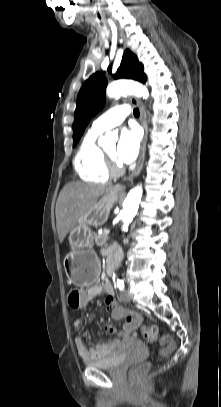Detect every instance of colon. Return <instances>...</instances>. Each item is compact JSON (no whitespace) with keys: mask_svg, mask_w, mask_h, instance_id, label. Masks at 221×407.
I'll use <instances>...</instances> for the list:
<instances>
[{"mask_svg":"<svg viewBox=\"0 0 221 407\" xmlns=\"http://www.w3.org/2000/svg\"><path fill=\"white\" fill-rule=\"evenodd\" d=\"M89 293L88 286H73L71 288L69 298L67 300L71 311H83L86 305V295ZM110 316L118 322H122V327L125 330L140 329L144 338L148 341H154L158 337V328L156 326H142V311L133 310L131 307L125 305H115L114 309L110 311ZM164 348L160 351L161 356L170 355L176 347L175 341L170 336L162 338ZM149 368L148 363L135 365L130 370V380L132 383L141 381Z\"/></svg>","mask_w":221,"mask_h":407,"instance_id":"obj_1","label":"colon"}]
</instances>
